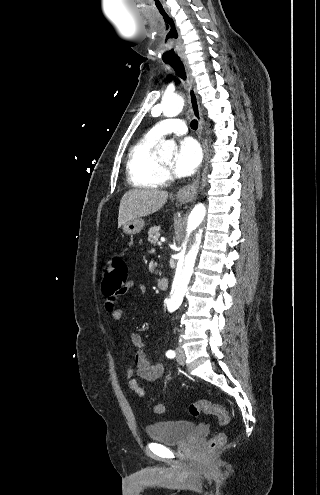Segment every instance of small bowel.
I'll return each instance as SVG.
<instances>
[{
	"label": "small bowel",
	"mask_w": 320,
	"mask_h": 495,
	"mask_svg": "<svg viewBox=\"0 0 320 495\" xmlns=\"http://www.w3.org/2000/svg\"><path fill=\"white\" fill-rule=\"evenodd\" d=\"M134 290L143 294L146 291V287L143 284L128 282L123 286V291L120 293L117 291L109 294L105 293V310L111 314L113 320L118 321L123 316V310L121 308H117L118 299L122 295ZM130 341L136 348V353L134 355L135 367H128L126 370V375L129 379V387L139 396H143L144 390L140 387L134 376L137 374L143 380L156 381L163 376L165 366L161 362L153 363L149 359L146 350V343L138 332L132 331L130 333Z\"/></svg>",
	"instance_id": "c3829d8e"
}]
</instances>
